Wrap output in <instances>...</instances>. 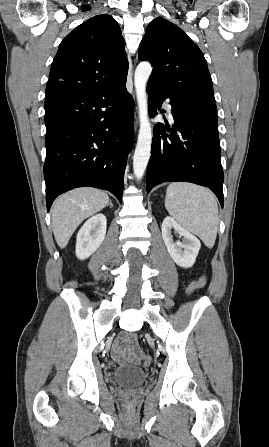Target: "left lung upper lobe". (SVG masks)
Instances as JSON below:
<instances>
[{"label": "left lung upper lobe", "mask_w": 269, "mask_h": 447, "mask_svg": "<svg viewBox=\"0 0 269 447\" xmlns=\"http://www.w3.org/2000/svg\"><path fill=\"white\" fill-rule=\"evenodd\" d=\"M138 56L153 71L148 85L167 94L196 118L217 122L213 84L207 62L186 33L161 17L146 28Z\"/></svg>", "instance_id": "obj_1"}]
</instances>
